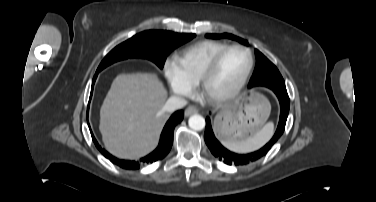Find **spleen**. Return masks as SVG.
<instances>
[{"label":"spleen","mask_w":376,"mask_h":202,"mask_svg":"<svg viewBox=\"0 0 376 202\" xmlns=\"http://www.w3.org/2000/svg\"><path fill=\"white\" fill-rule=\"evenodd\" d=\"M274 124L267 123L256 135L241 142H223V145L231 151L237 153H248L261 148L272 137Z\"/></svg>","instance_id":"obj_1"}]
</instances>
